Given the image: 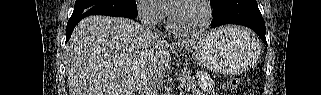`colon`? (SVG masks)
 <instances>
[{
	"label": "colon",
	"instance_id": "colon-1",
	"mask_svg": "<svg viewBox=\"0 0 321 95\" xmlns=\"http://www.w3.org/2000/svg\"><path fill=\"white\" fill-rule=\"evenodd\" d=\"M241 84V80L239 77H231L227 80L226 84L224 85L225 90H232L239 87Z\"/></svg>",
	"mask_w": 321,
	"mask_h": 95
}]
</instances>
